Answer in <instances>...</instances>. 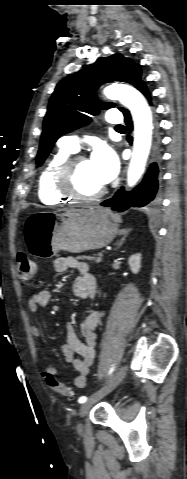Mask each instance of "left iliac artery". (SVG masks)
<instances>
[{
	"instance_id": "obj_1",
	"label": "left iliac artery",
	"mask_w": 187,
	"mask_h": 479,
	"mask_svg": "<svg viewBox=\"0 0 187 479\" xmlns=\"http://www.w3.org/2000/svg\"><path fill=\"white\" fill-rule=\"evenodd\" d=\"M112 371H113V368H111L110 373H111ZM86 400H87V397L82 396V397H80V398L78 399V402H79V403H84V402H86Z\"/></svg>"
}]
</instances>
